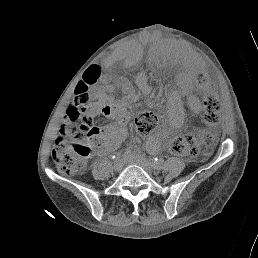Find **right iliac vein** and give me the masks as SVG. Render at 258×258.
<instances>
[{"label":"right iliac vein","instance_id":"right-iliac-vein-1","mask_svg":"<svg viewBox=\"0 0 258 258\" xmlns=\"http://www.w3.org/2000/svg\"><path fill=\"white\" fill-rule=\"evenodd\" d=\"M123 165H124V163H123L122 160L116 159V160L114 161V169H115L116 171L122 170Z\"/></svg>","mask_w":258,"mask_h":258}]
</instances>
